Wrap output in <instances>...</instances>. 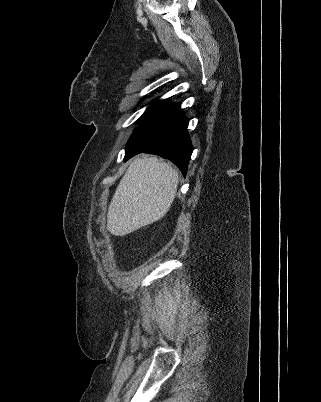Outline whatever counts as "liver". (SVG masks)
Returning <instances> with one entry per match:
<instances>
[{"label":"liver","instance_id":"obj_1","mask_svg":"<svg viewBox=\"0 0 321 402\" xmlns=\"http://www.w3.org/2000/svg\"><path fill=\"white\" fill-rule=\"evenodd\" d=\"M178 172L157 157L136 158L122 177L107 213V230L124 236L152 224L170 209Z\"/></svg>","mask_w":321,"mask_h":402}]
</instances>
